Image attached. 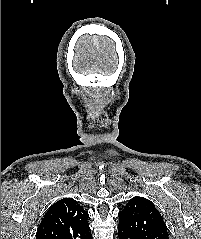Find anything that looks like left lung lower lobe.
I'll list each match as a JSON object with an SVG mask.
<instances>
[{
  "label": "left lung lower lobe",
  "mask_w": 201,
  "mask_h": 239,
  "mask_svg": "<svg viewBox=\"0 0 201 239\" xmlns=\"http://www.w3.org/2000/svg\"><path fill=\"white\" fill-rule=\"evenodd\" d=\"M118 237L119 239H140L136 234L119 225H118Z\"/></svg>",
  "instance_id": "0a47b994"
}]
</instances>
